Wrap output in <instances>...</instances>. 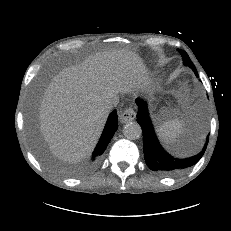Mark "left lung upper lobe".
<instances>
[{
    "label": "left lung upper lobe",
    "mask_w": 231,
    "mask_h": 231,
    "mask_svg": "<svg viewBox=\"0 0 231 231\" xmlns=\"http://www.w3.org/2000/svg\"><path fill=\"white\" fill-rule=\"evenodd\" d=\"M180 53L183 56L184 64L189 66L190 68H192V70L195 72V74H197V70H196L194 64L192 63V61L190 60L188 54L183 50H180Z\"/></svg>",
    "instance_id": "5c2ea615"
}]
</instances>
